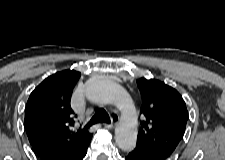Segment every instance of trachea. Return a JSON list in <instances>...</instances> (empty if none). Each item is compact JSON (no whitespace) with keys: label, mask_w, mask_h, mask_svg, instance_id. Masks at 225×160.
Instances as JSON below:
<instances>
[{"label":"trachea","mask_w":225,"mask_h":160,"mask_svg":"<svg viewBox=\"0 0 225 160\" xmlns=\"http://www.w3.org/2000/svg\"><path fill=\"white\" fill-rule=\"evenodd\" d=\"M96 123H110L109 115L103 108H100L96 111V113L91 118L90 122L85 126V128H89Z\"/></svg>","instance_id":"trachea-1"}]
</instances>
